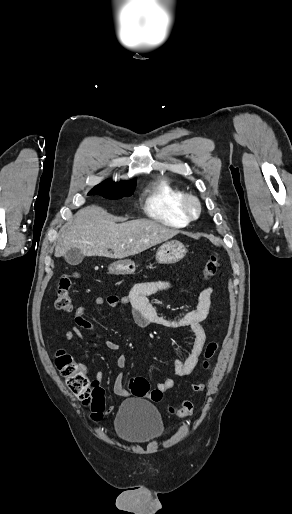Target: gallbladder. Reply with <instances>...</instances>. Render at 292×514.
<instances>
[{"label": "gallbladder", "instance_id": "obj_1", "mask_svg": "<svg viewBox=\"0 0 292 514\" xmlns=\"http://www.w3.org/2000/svg\"><path fill=\"white\" fill-rule=\"evenodd\" d=\"M64 258L67 264H71V266H78V264L83 262L84 254H82L81 250H78V248H70V250H67Z\"/></svg>", "mask_w": 292, "mask_h": 514}]
</instances>
